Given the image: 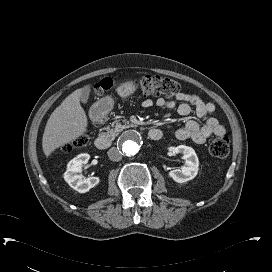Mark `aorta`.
Returning a JSON list of instances; mask_svg holds the SVG:
<instances>
[{"mask_svg":"<svg viewBox=\"0 0 272 272\" xmlns=\"http://www.w3.org/2000/svg\"><path fill=\"white\" fill-rule=\"evenodd\" d=\"M119 144L122 152L132 157L140 153L144 146V139L137 130H130L121 138Z\"/></svg>","mask_w":272,"mask_h":272,"instance_id":"obj_1","label":"aorta"}]
</instances>
